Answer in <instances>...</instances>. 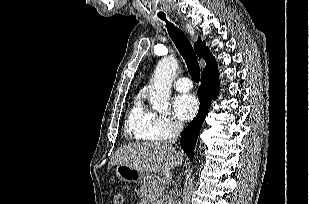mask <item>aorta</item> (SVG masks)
<instances>
[{
  "label": "aorta",
  "mask_w": 309,
  "mask_h": 204,
  "mask_svg": "<svg viewBox=\"0 0 309 204\" xmlns=\"http://www.w3.org/2000/svg\"><path fill=\"white\" fill-rule=\"evenodd\" d=\"M177 69L178 61L173 56L164 57L158 62L149 87V99L153 109L159 112L168 109L171 85Z\"/></svg>",
  "instance_id": "aorta-1"
}]
</instances>
